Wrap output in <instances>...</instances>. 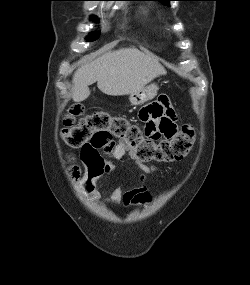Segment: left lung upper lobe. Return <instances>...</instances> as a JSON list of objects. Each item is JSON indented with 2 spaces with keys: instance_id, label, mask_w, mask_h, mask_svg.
I'll return each mask as SVG.
<instances>
[{
  "instance_id": "obj_1",
  "label": "left lung upper lobe",
  "mask_w": 250,
  "mask_h": 285,
  "mask_svg": "<svg viewBox=\"0 0 250 285\" xmlns=\"http://www.w3.org/2000/svg\"><path fill=\"white\" fill-rule=\"evenodd\" d=\"M156 1H160V2L164 3L165 5L169 6V2L173 1V0H156Z\"/></svg>"
}]
</instances>
